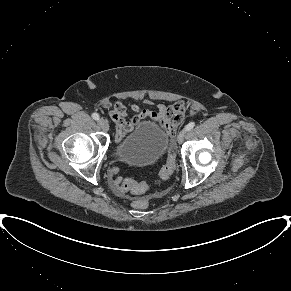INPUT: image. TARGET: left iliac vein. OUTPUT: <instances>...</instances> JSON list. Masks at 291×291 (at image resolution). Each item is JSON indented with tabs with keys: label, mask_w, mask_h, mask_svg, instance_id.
Here are the masks:
<instances>
[{
	"label": "left iliac vein",
	"mask_w": 291,
	"mask_h": 291,
	"mask_svg": "<svg viewBox=\"0 0 291 291\" xmlns=\"http://www.w3.org/2000/svg\"><path fill=\"white\" fill-rule=\"evenodd\" d=\"M186 135V130H182L179 132L178 136H177V141L179 144H181L185 138Z\"/></svg>",
	"instance_id": "1"
}]
</instances>
